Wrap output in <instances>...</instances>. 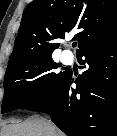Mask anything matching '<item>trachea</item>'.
<instances>
[{
    "label": "trachea",
    "mask_w": 117,
    "mask_h": 136,
    "mask_svg": "<svg viewBox=\"0 0 117 136\" xmlns=\"http://www.w3.org/2000/svg\"><path fill=\"white\" fill-rule=\"evenodd\" d=\"M72 46H73V47H76V46H77V42H73V43H72Z\"/></svg>",
    "instance_id": "3493384b"
}]
</instances>
